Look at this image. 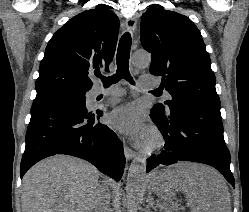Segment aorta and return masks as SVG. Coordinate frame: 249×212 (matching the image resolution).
<instances>
[{"label":"aorta","instance_id":"1","mask_svg":"<svg viewBox=\"0 0 249 212\" xmlns=\"http://www.w3.org/2000/svg\"><path fill=\"white\" fill-rule=\"evenodd\" d=\"M131 63L138 68L149 66L151 56L147 52L137 51L132 55ZM146 174V158L143 155H137L128 170L127 176V208L130 212L135 211L142 197V189Z\"/></svg>","mask_w":249,"mask_h":212}]
</instances>
